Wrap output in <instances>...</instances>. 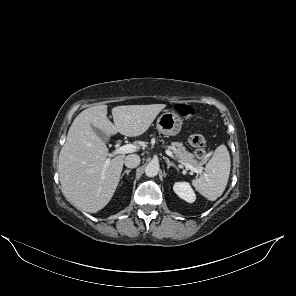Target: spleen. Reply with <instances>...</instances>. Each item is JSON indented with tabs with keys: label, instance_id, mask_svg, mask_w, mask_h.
<instances>
[{
	"label": "spleen",
	"instance_id": "1",
	"mask_svg": "<svg viewBox=\"0 0 296 296\" xmlns=\"http://www.w3.org/2000/svg\"><path fill=\"white\" fill-rule=\"evenodd\" d=\"M230 167V154L225 145H220L206 164L205 172L192 180V185L205 198L214 201L226 188Z\"/></svg>",
	"mask_w": 296,
	"mask_h": 296
}]
</instances>
